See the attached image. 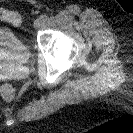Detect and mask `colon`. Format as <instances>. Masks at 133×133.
<instances>
[{
  "instance_id": "5ec220e1",
  "label": "colon",
  "mask_w": 133,
  "mask_h": 133,
  "mask_svg": "<svg viewBox=\"0 0 133 133\" xmlns=\"http://www.w3.org/2000/svg\"><path fill=\"white\" fill-rule=\"evenodd\" d=\"M0 20L7 21L13 24L20 22V17L17 13L0 8ZM14 92L11 88H4L2 90L3 98L10 100L13 98Z\"/></svg>"
}]
</instances>
